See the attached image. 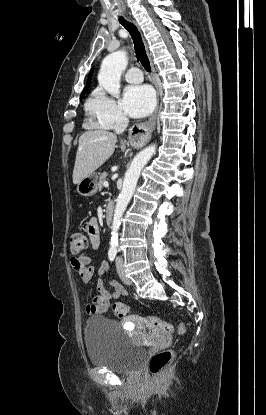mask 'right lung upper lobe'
Returning a JSON list of instances; mask_svg holds the SVG:
<instances>
[{"label": "right lung upper lobe", "mask_w": 266, "mask_h": 415, "mask_svg": "<svg viewBox=\"0 0 266 415\" xmlns=\"http://www.w3.org/2000/svg\"><path fill=\"white\" fill-rule=\"evenodd\" d=\"M92 73H93V69H91V71H90V74H89V77H88V80H87L86 86H85V88H84V90H83V92H82V94H81V97L84 95V93H85V92L87 91V89L89 88Z\"/></svg>", "instance_id": "1"}]
</instances>
